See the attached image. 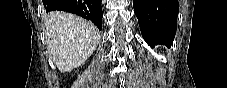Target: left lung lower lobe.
Instances as JSON below:
<instances>
[{
  "instance_id": "left-lung-lower-lobe-1",
  "label": "left lung lower lobe",
  "mask_w": 227,
  "mask_h": 88,
  "mask_svg": "<svg viewBox=\"0 0 227 88\" xmlns=\"http://www.w3.org/2000/svg\"><path fill=\"white\" fill-rule=\"evenodd\" d=\"M133 6L148 45L170 47L177 28L178 0H133Z\"/></svg>"
}]
</instances>
